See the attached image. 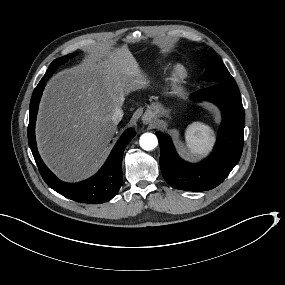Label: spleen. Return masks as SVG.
Returning <instances> with one entry per match:
<instances>
[{
	"label": "spleen",
	"mask_w": 285,
	"mask_h": 285,
	"mask_svg": "<svg viewBox=\"0 0 285 285\" xmlns=\"http://www.w3.org/2000/svg\"><path fill=\"white\" fill-rule=\"evenodd\" d=\"M187 149L190 154H200L209 147L212 134L209 129L200 124H194L187 131Z\"/></svg>",
	"instance_id": "spleen-1"
}]
</instances>
